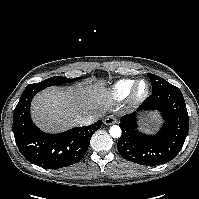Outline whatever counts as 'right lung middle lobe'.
<instances>
[{
  "label": "right lung middle lobe",
  "instance_id": "right-lung-middle-lobe-1",
  "mask_svg": "<svg viewBox=\"0 0 199 199\" xmlns=\"http://www.w3.org/2000/svg\"><path fill=\"white\" fill-rule=\"evenodd\" d=\"M76 80H78V78L69 79L66 77L54 76V77L48 78L39 83L29 84V85H27L26 89L41 91L44 88L49 87V86L60 85L63 83H69V82L76 81Z\"/></svg>",
  "mask_w": 199,
  "mask_h": 199
}]
</instances>
